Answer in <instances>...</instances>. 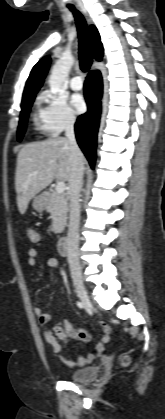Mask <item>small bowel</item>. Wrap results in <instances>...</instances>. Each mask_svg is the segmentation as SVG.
Returning a JSON list of instances; mask_svg holds the SVG:
<instances>
[{
  "label": "small bowel",
  "instance_id": "small-bowel-1",
  "mask_svg": "<svg viewBox=\"0 0 165 419\" xmlns=\"http://www.w3.org/2000/svg\"><path fill=\"white\" fill-rule=\"evenodd\" d=\"M39 237V236H38ZM40 241V238L38 242ZM37 243V242H36ZM38 260V251L35 248H31L28 251V264L31 267H35ZM47 265L50 267H59L60 262L55 258H49L47 260ZM34 313L37 315L39 322L42 325H47L51 321V317L48 313L43 310L42 305H37L34 307ZM70 335L74 338H77L82 341H89L92 338V334L86 330H79V329H69ZM44 340L52 346V350L54 353L59 354L63 348V343H60L51 333L48 331H44L43 333ZM108 341V336H103L101 340L96 344V349L101 350L104 348V345ZM63 364L68 367H82L94 360V353L89 352L83 356L77 357L74 361L61 359Z\"/></svg>",
  "mask_w": 165,
  "mask_h": 419
}]
</instances>
